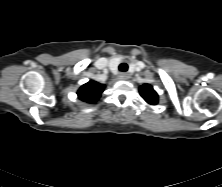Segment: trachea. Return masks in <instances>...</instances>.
I'll return each instance as SVG.
<instances>
[{"mask_svg":"<svg viewBox=\"0 0 222 187\" xmlns=\"http://www.w3.org/2000/svg\"><path fill=\"white\" fill-rule=\"evenodd\" d=\"M119 70H120L121 72H126V71L128 70V65H127L126 63H121V64L119 65Z\"/></svg>","mask_w":222,"mask_h":187,"instance_id":"trachea-1","label":"trachea"}]
</instances>
